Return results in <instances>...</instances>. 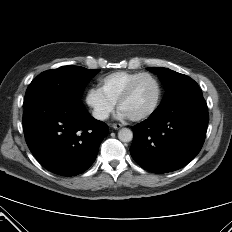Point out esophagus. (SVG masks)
<instances>
[{
    "instance_id": "34e87169",
    "label": "esophagus",
    "mask_w": 232,
    "mask_h": 232,
    "mask_svg": "<svg viewBox=\"0 0 232 232\" xmlns=\"http://www.w3.org/2000/svg\"><path fill=\"white\" fill-rule=\"evenodd\" d=\"M112 127H113L114 129H120V128L122 127V125L119 124V123H114V124H112Z\"/></svg>"
}]
</instances>
